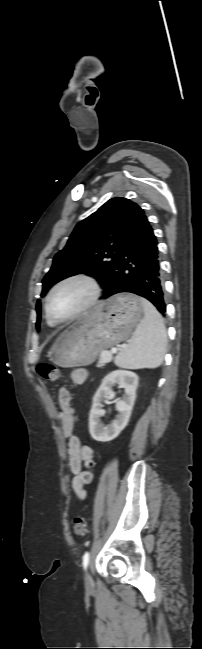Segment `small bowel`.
<instances>
[{
    "instance_id": "obj_1",
    "label": "small bowel",
    "mask_w": 202,
    "mask_h": 649,
    "mask_svg": "<svg viewBox=\"0 0 202 649\" xmlns=\"http://www.w3.org/2000/svg\"><path fill=\"white\" fill-rule=\"evenodd\" d=\"M70 378L74 384L80 385L85 382L87 371L84 368H76L71 372ZM59 405L61 432L63 437L68 440L66 448L68 466L74 475L72 487L77 496L84 499L86 497L85 486L90 484L94 477L93 452L89 447L82 445L79 437L74 434L75 410L71 405L70 395L65 389L60 390ZM83 464L86 469L82 471Z\"/></svg>"
}]
</instances>
